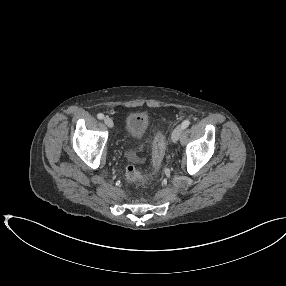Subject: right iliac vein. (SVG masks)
I'll list each match as a JSON object with an SVG mask.
<instances>
[{"label":"right iliac vein","mask_w":286,"mask_h":286,"mask_svg":"<svg viewBox=\"0 0 286 286\" xmlns=\"http://www.w3.org/2000/svg\"><path fill=\"white\" fill-rule=\"evenodd\" d=\"M104 123H105L109 128H112L113 125H114L113 120H112L110 117H108V116H106V117L104 118Z\"/></svg>","instance_id":"63e3f726"}]
</instances>
